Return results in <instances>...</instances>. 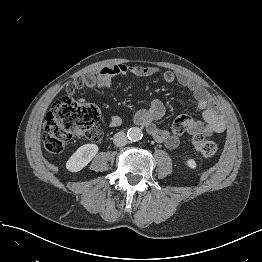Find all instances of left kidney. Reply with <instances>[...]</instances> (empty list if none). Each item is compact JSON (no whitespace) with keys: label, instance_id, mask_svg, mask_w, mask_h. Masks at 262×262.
<instances>
[{"label":"left kidney","instance_id":"1","mask_svg":"<svg viewBox=\"0 0 262 262\" xmlns=\"http://www.w3.org/2000/svg\"><path fill=\"white\" fill-rule=\"evenodd\" d=\"M186 165L191 168V169H195L197 167L196 162L194 161V159L188 158L186 161Z\"/></svg>","mask_w":262,"mask_h":262}]
</instances>
